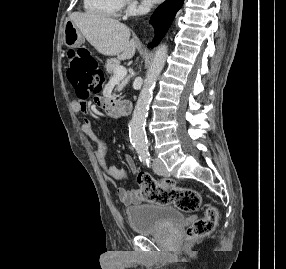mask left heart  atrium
Segmentation results:
<instances>
[{"label":"left heart atrium","instance_id":"obj_1","mask_svg":"<svg viewBox=\"0 0 286 269\" xmlns=\"http://www.w3.org/2000/svg\"><path fill=\"white\" fill-rule=\"evenodd\" d=\"M146 4L154 5L160 3L162 0H143Z\"/></svg>","mask_w":286,"mask_h":269}]
</instances>
